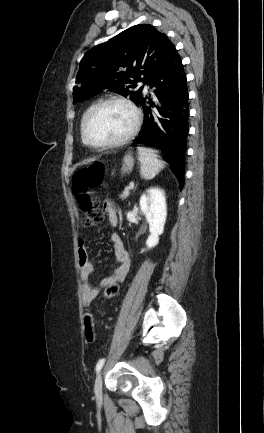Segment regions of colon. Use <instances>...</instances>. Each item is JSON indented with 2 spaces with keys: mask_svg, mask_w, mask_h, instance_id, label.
<instances>
[{
  "mask_svg": "<svg viewBox=\"0 0 264 433\" xmlns=\"http://www.w3.org/2000/svg\"><path fill=\"white\" fill-rule=\"evenodd\" d=\"M105 169L101 163L90 164L75 172L72 180L73 193L79 207L84 212L83 224L92 227L100 224L104 214L98 206V199L92 189L99 187L104 179ZM120 286L113 283L106 286L104 298L113 299L119 293Z\"/></svg>",
  "mask_w": 264,
  "mask_h": 433,
  "instance_id": "obj_1",
  "label": "colon"
}]
</instances>
